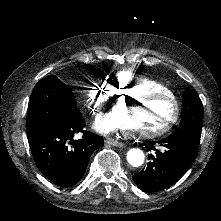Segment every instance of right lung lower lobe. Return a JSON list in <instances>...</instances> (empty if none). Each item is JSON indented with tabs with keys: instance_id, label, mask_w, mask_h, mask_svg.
I'll return each instance as SVG.
<instances>
[{
	"instance_id": "right-lung-lower-lobe-1",
	"label": "right lung lower lobe",
	"mask_w": 221,
	"mask_h": 221,
	"mask_svg": "<svg viewBox=\"0 0 221 221\" xmlns=\"http://www.w3.org/2000/svg\"><path fill=\"white\" fill-rule=\"evenodd\" d=\"M83 117L70 123L47 125L27 133L29 145L38 169L60 187H71L83 177L90 156L104 140L84 131ZM83 132L82 139L73 143L75 133ZM73 144V148L68 147Z\"/></svg>"
}]
</instances>
